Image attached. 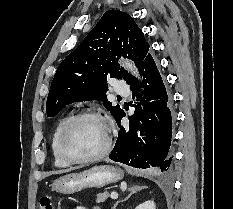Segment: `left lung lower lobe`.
I'll use <instances>...</instances> for the list:
<instances>
[{
  "label": "left lung lower lobe",
  "instance_id": "left-lung-lower-lobe-1",
  "mask_svg": "<svg viewBox=\"0 0 233 209\" xmlns=\"http://www.w3.org/2000/svg\"><path fill=\"white\" fill-rule=\"evenodd\" d=\"M143 76V88L136 78L128 84L133 98L142 102L135 106L134 115L129 117V127L121 126L124 110L116 119L120 127L118 138L109 158L135 168L169 171L172 156L169 153L172 138V116L170 100L161 75L151 54L138 68ZM142 93L144 96L142 97Z\"/></svg>",
  "mask_w": 233,
  "mask_h": 209
}]
</instances>
